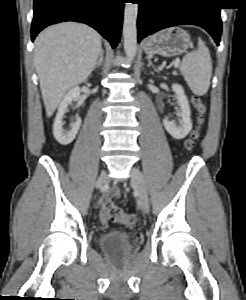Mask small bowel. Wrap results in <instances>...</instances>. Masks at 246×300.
<instances>
[{
    "instance_id": "obj_1",
    "label": "small bowel",
    "mask_w": 246,
    "mask_h": 300,
    "mask_svg": "<svg viewBox=\"0 0 246 300\" xmlns=\"http://www.w3.org/2000/svg\"><path fill=\"white\" fill-rule=\"evenodd\" d=\"M110 195H112V196H118V195H119V191H118L117 189H112V190L110 191ZM100 220H101V222H102L103 224H107V222H108V219L104 217L102 211H101V213H100Z\"/></svg>"
}]
</instances>
